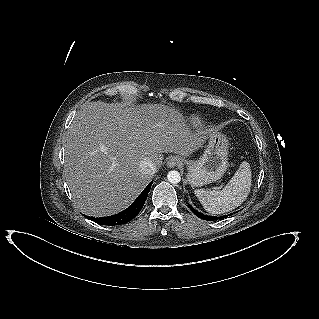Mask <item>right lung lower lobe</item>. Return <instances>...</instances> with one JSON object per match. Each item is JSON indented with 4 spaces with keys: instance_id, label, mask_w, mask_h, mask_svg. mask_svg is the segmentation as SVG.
Instances as JSON below:
<instances>
[{
    "instance_id": "98d812e1",
    "label": "right lung lower lobe",
    "mask_w": 319,
    "mask_h": 319,
    "mask_svg": "<svg viewBox=\"0 0 319 319\" xmlns=\"http://www.w3.org/2000/svg\"><path fill=\"white\" fill-rule=\"evenodd\" d=\"M152 185V181L149 183V185L143 190V192L138 196V198L124 211L112 215L109 217H101V218H92L93 221L102 224V225H120L124 224L126 222H129L134 217L138 215V213L141 211L145 200L148 196V193L150 191Z\"/></svg>"
}]
</instances>
